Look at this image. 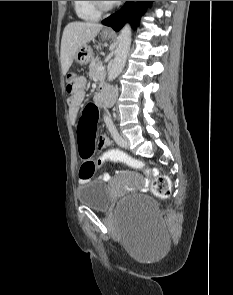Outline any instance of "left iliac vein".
<instances>
[{
	"mask_svg": "<svg viewBox=\"0 0 233 295\" xmlns=\"http://www.w3.org/2000/svg\"><path fill=\"white\" fill-rule=\"evenodd\" d=\"M121 138H122V140L125 141V144L124 145H121L120 144V146L127 149L129 147V141H128V139L125 138V137H121Z\"/></svg>",
	"mask_w": 233,
	"mask_h": 295,
	"instance_id": "left-iliac-vein-1",
	"label": "left iliac vein"
}]
</instances>
